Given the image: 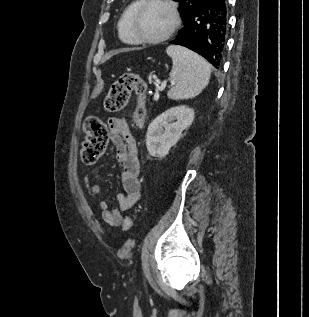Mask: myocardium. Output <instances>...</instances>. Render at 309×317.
I'll use <instances>...</instances> for the list:
<instances>
[{"mask_svg": "<svg viewBox=\"0 0 309 317\" xmlns=\"http://www.w3.org/2000/svg\"><path fill=\"white\" fill-rule=\"evenodd\" d=\"M159 3L167 6L173 15V23L170 29L163 34L162 36L156 38H148L144 37L137 28L138 19L142 13V11L149 5ZM181 25V15L178 9L177 4L173 0H141V3L135 9L132 17H131V30L133 35L135 36L136 40L139 43H146V44H157L164 42L171 38L173 34L178 30Z\"/></svg>", "mask_w": 309, "mask_h": 317, "instance_id": "1", "label": "myocardium"}]
</instances>
